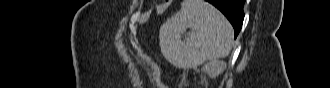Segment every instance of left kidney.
Masks as SVG:
<instances>
[{
    "instance_id": "obj_1",
    "label": "left kidney",
    "mask_w": 330,
    "mask_h": 88,
    "mask_svg": "<svg viewBox=\"0 0 330 88\" xmlns=\"http://www.w3.org/2000/svg\"><path fill=\"white\" fill-rule=\"evenodd\" d=\"M226 69V63L221 60H213L208 62L204 67H203V72L208 74L210 78L215 79L219 75H221L224 70Z\"/></svg>"
}]
</instances>
